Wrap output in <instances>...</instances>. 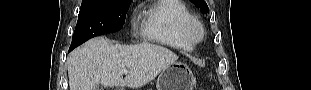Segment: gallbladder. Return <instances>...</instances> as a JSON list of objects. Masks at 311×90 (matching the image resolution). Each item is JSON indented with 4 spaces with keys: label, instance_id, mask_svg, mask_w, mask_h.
Returning <instances> with one entry per match:
<instances>
[{
    "label": "gallbladder",
    "instance_id": "bac80fb5",
    "mask_svg": "<svg viewBox=\"0 0 311 90\" xmlns=\"http://www.w3.org/2000/svg\"><path fill=\"white\" fill-rule=\"evenodd\" d=\"M96 90H103V87L102 86H97Z\"/></svg>",
    "mask_w": 311,
    "mask_h": 90
}]
</instances>
